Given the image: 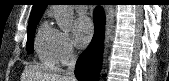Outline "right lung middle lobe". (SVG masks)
I'll return each mask as SVG.
<instances>
[{"mask_svg": "<svg viewBox=\"0 0 169 81\" xmlns=\"http://www.w3.org/2000/svg\"><path fill=\"white\" fill-rule=\"evenodd\" d=\"M39 20L30 22L28 24V39H27V52L28 53H33V41H34V33L36 29V25L38 24Z\"/></svg>", "mask_w": 169, "mask_h": 81, "instance_id": "right-lung-middle-lobe-1", "label": "right lung middle lobe"}]
</instances>
